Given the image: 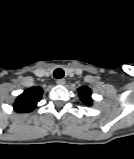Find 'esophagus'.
Here are the masks:
<instances>
[{
  "label": "esophagus",
  "instance_id": "esophagus-1",
  "mask_svg": "<svg viewBox=\"0 0 134 159\" xmlns=\"http://www.w3.org/2000/svg\"><path fill=\"white\" fill-rule=\"evenodd\" d=\"M65 79L64 78H60V79H57L56 80V83L58 84V85H64L65 84Z\"/></svg>",
  "mask_w": 134,
  "mask_h": 159
}]
</instances>
